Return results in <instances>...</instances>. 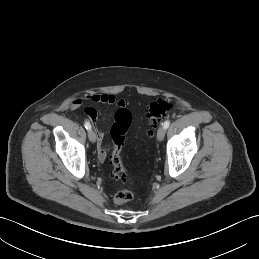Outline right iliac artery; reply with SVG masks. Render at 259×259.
Returning <instances> with one entry per match:
<instances>
[{
    "label": "right iliac artery",
    "instance_id": "right-iliac-artery-1",
    "mask_svg": "<svg viewBox=\"0 0 259 259\" xmlns=\"http://www.w3.org/2000/svg\"><path fill=\"white\" fill-rule=\"evenodd\" d=\"M84 126L87 130H91V125L89 122L85 121Z\"/></svg>",
    "mask_w": 259,
    "mask_h": 259
}]
</instances>
